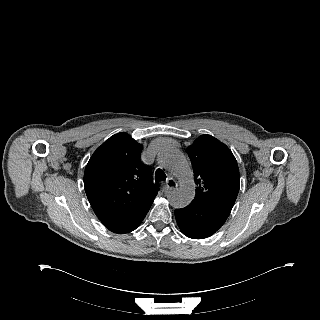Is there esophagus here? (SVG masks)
Here are the masks:
<instances>
[{
  "label": "esophagus",
  "instance_id": "34e87169",
  "mask_svg": "<svg viewBox=\"0 0 320 320\" xmlns=\"http://www.w3.org/2000/svg\"><path fill=\"white\" fill-rule=\"evenodd\" d=\"M178 184L173 178H169L166 183L164 184V189L166 191L174 190L177 188Z\"/></svg>",
  "mask_w": 320,
  "mask_h": 320
}]
</instances>
